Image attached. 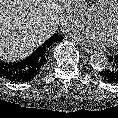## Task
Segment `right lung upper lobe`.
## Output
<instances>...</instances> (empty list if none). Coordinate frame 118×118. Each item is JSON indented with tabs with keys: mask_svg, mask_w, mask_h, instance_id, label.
Returning <instances> with one entry per match:
<instances>
[{
	"mask_svg": "<svg viewBox=\"0 0 118 118\" xmlns=\"http://www.w3.org/2000/svg\"><path fill=\"white\" fill-rule=\"evenodd\" d=\"M56 36L53 35L50 40L46 41L45 43H43V45L39 48H37L34 53L33 56H37L38 59L44 60L45 56H46V51L48 50V48L50 47V45H52L53 42H56ZM43 64V61H41V65Z\"/></svg>",
	"mask_w": 118,
	"mask_h": 118,
	"instance_id": "right-lung-upper-lobe-1",
	"label": "right lung upper lobe"
}]
</instances>
